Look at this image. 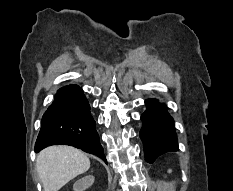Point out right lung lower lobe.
<instances>
[{"label":"right lung lower lobe","mask_w":233,"mask_h":191,"mask_svg":"<svg viewBox=\"0 0 233 191\" xmlns=\"http://www.w3.org/2000/svg\"><path fill=\"white\" fill-rule=\"evenodd\" d=\"M95 125L83 90L78 85L64 86L42 116L35 152L65 144L95 154L107 163Z\"/></svg>","instance_id":"obj_1"}]
</instances>
